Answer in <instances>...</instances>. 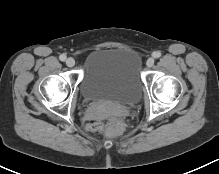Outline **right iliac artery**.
I'll return each mask as SVG.
<instances>
[{"label":"right iliac artery","mask_w":219,"mask_h":174,"mask_svg":"<svg viewBox=\"0 0 219 174\" xmlns=\"http://www.w3.org/2000/svg\"><path fill=\"white\" fill-rule=\"evenodd\" d=\"M59 59L61 61H65L66 60V55L65 54L60 55Z\"/></svg>","instance_id":"right-iliac-artery-1"}]
</instances>
